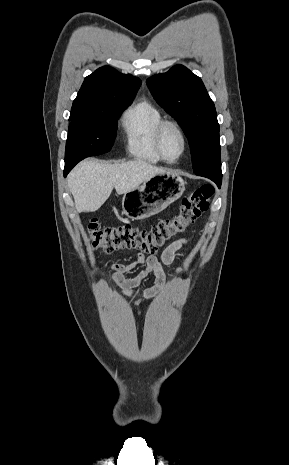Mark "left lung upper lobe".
Listing matches in <instances>:
<instances>
[{"instance_id": "obj_1", "label": "left lung upper lobe", "mask_w": 289, "mask_h": 465, "mask_svg": "<svg viewBox=\"0 0 289 465\" xmlns=\"http://www.w3.org/2000/svg\"><path fill=\"white\" fill-rule=\"evenodd\" d=\"M156 101L179 123L191 147L196 175L222 181L217 113L202 80L182 65L146 81Z\"/></svg>"}]
</instances>
